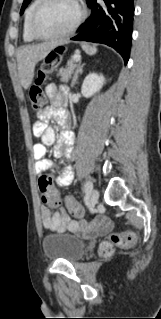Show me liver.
Here are the masks:
<instances>
[{"instance_id": "obj_1", "label": "liver", "mask_w": 161, "mask_h": 319, "mask_svg": "<svg viewBox=\"0 0 161 319\" xmlns=\"http://www.w3.org/2000/svg\"><path fill=\"white\" fill-rule=\"evenodd\" d=\"M55 47L54 42L22 46L17 51L18 75L21 85L28 89L34 77L36 64Z\"/></svg>"}]
</instances>
